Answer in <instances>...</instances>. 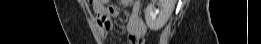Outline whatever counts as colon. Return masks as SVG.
Wrapping results in <instances>:
<instances>
[{"mask_svg":"<svg viewBox=\"0 0 261 44\" xmlns=\"http://www.w3.org/2000/svg\"><path fill=\"white\" fill-rule=\"evenodd\" d=\"M95 2V4L97 5V6H104L108 1H104V0H96V1H94ZM144 43V41L142 40V39H137L136 40V44H143Z\"/></svg>","mask_w":261,"mask_h":44,"instance_id":"colon-1","label":"colon"}]
</instances>
